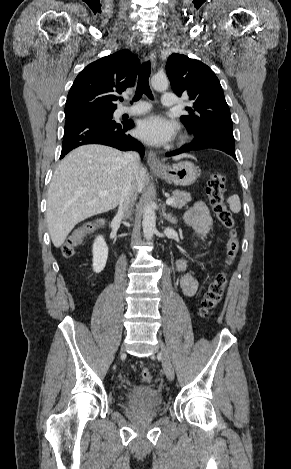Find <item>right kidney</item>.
Masks as SVG:
<instances>
[{"label": "right kidney", "instance_id": "ca27d5eb", "mask_svg": "<svg viewBox=\"0 0 291 469\" xmlns=\"http://www.w3.org/2000/svg\"><path fill=\"white\" fill-rule=\"evenodd\" d=\"M93 270L100 273L106 265L108 258V247L102 236H98L93 244Z\"/></svg>", "mask_w": 291, "mask_h": 469}]
</instances>
